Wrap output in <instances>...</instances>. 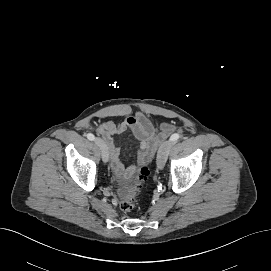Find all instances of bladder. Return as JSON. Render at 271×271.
Returning <instances> with one entry per match:
<instances>
[{
	"label": "bladder",
	"mask_w": 271,
	"mask_h": 271,
	"mask_svg": "<svg viewBox=\"0 0 271 271\" xmlns=\"http://www.w3.org/2000/svg\"><path fill=\"white\" fill-rule=\"evenodd\" d=\"M119 195L122 198H131L135 195V189L133 187H130L128 185L121 186L119 190Z\"/></svg>",
	"instance_id": "31cf9c89"
}]
</instances>
